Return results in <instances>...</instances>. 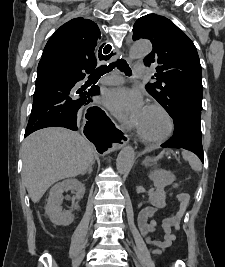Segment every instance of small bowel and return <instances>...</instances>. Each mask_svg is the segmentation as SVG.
I'll return each mask as SVG.
<instances>
[{"label": "small bowel", "mask_w": 225, "mask_h": 267, "mask_svg": "<svg viewBox=\"0 0 225 267\" xmlns=\"http://www.w3.org/2000/svg\"><path fill=\"white\" fill-rule=\"evenodd\" d=\"M183 198H186L188 201L189 195L185 192H179L177 194L179 208L176 211L167 214L161 221V227L164 234L163 240L152 239V234L155 232L156 227L159 224L158 220L154 218L157 213V208L147 206L142 210L138 220L139 228L147 242L157 247V249L152 250L154 254H161L175 241V232L179 229V222L185 211V208L180 207Z\"/></svg>", "instance_id": "1"}]
</instances>
